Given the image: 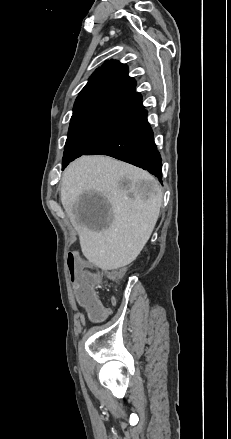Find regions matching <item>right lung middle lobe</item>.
Instances as JSON below:
<instances>
[{
  "instance_id": "right-lung-middle-lobe-1",
  "label": "right lung middle lobe",
  "mask_w": 231,
  "mask_h": 439,
  "mask_svg": "<svg viewBox=\"0 0 231 439\" xmlns=\"http://www.w3.org/2000/svg\"><path fill=\"white\" fill-rule=\"evenodd\" d=\"M122 121L120 118L102 115L72 117L65 144L63 168L82 156Z\"/></svg>"
}]
</instances>
